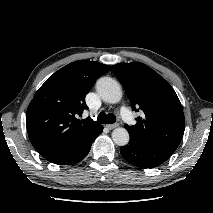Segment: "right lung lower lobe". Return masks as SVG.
<instances>
[{
    "label": "right lung lower lobe",
    "instance_id": "obj_1",
    "mask_svg": "<svg viewBox=\"0 0 213 213\" xmlns=\"http://www.w3.org/2000/svg\"><path fill=\"white\" fill-rule=\"evenodd\" d=\"M103 127H98L91 134L83 137L73 145L65 147L41 148L37 151L46 160L58 165H70L80 162L90 151L92 142L102 132Z\"/></svg>",
    "mask_w": 213,
    "mask_h": 213
}]
</instances>
